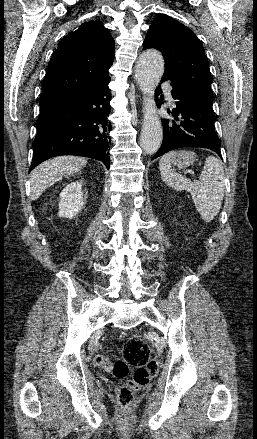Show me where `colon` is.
<instances>
[{
	"mask_svg": "<svg viewBox=\"0 0 257 439\" xmlns=\"http://www.w3.org/2000/svg\"><path fill=\"white\" fill-rule=\"evenodd\" d=\"M94 363L99 366L106 365L102 356H96ZM109 368L117 378H124L130 368H134L132 378L116 389V400L120 406L125 408L134 404L135 391L147 386L157 374L155 355L137 335H132L127 339L121 357L111 363Z\"/></svg>",
	"mask_w": 257,
	"mask_h": 439,
	"instance_id": "1",
	"label": "colon"
}]
</instances>
